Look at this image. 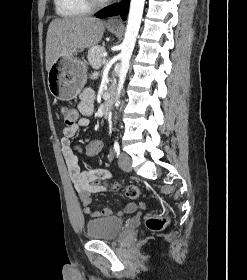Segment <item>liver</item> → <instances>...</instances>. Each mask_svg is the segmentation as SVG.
Masks as SVG:
<instances>
[{
  "instance_id": "6515ba94",
  "label": "liver",
  "mask_w": 247,
  "mask_h": 280,
  "mask_svg": "<svg viewBox=\"0 0 247 280\" xmlns=\"http://www.w3.org/2000/svg\"><path fill=\"white\" fill-rule=\"evenodd\" d=\"M104 33V22L93 17L54 19L46 37V70L68 49L92 48Z\"/></svg>"
}]
</instances>
